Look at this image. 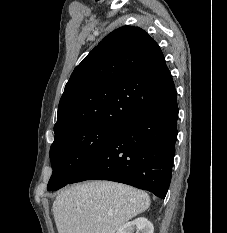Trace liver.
<instances>
[{
  "instance_id": "liver-1",
  "label": "liver",
  "mask_w": 227,
  "mask_h": 233,
  "mask_svg": "<svg viewBox=\"0 0 227 233\" xmlns=\"http://www.w3.org/2000/svg\"><path fill=\"white\" fill-rule=\"evenodd\" d=\"M149 206L150 197L142 190L110 181H91L58 194L53 215L58 233H115Z\"/></svg>"
}]
</instances>
